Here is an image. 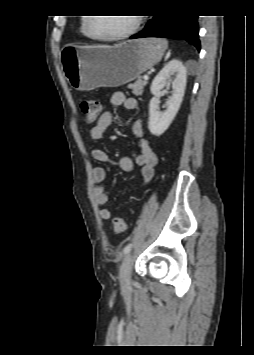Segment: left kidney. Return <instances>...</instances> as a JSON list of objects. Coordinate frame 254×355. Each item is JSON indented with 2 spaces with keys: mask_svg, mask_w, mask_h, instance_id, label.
<instances>
[{
  "mask_svg": "<svg viewBox=\"0 0 254 355\" xmlns=\"http://www.w3.org/2000/svg\"><path fill=\"white\" fill-rule=\"evenodd\" d=\"M173 93L166 102V110L160 111L159 98L164 87L170 85L171 77ZM187 80V71L183 63L178 59L169 61L154 78L151 85L153 98L149 104V125L150 132L155 136L162 135L175 118L183 100Z\"/></svg>",
  "mask_w": 254,
  "mask_h": 355,
  "instance_id": "1",
  "label": "left kidney"
}]
</instances>
